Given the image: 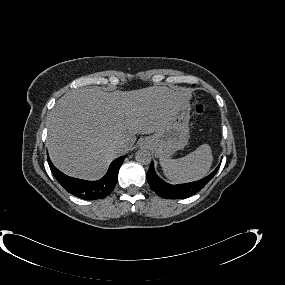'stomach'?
Here are the masks:
<instances>
[{
	"instance_id": "0dacf381",
	"label": "stomach",
	"mask_w": 285,
	"mask_h": 285,
	"mask_svg": "<svg viewBox=\"0 0 285 285\" xmlns=\"http://www.w3.org/2000/svg\"><path fill=\"white\" fill-rule=\"evenodd\" d=\"M190 105L184 104L169 121L153 135L146 137L142 144L150 146L157 157L169 158L183 149L189 140Z\"/></svg>"
}]
</instances>
